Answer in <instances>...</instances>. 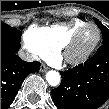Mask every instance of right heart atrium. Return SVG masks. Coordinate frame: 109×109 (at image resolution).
<instances>
[{"mask_svg":"<svg viewBox=\"0 0 109 109\" xmlns=\"http://www.w3.org/2000/svg\"><path fill=\"white\" fill-rule=\"evenodd\" d=\"M24 46L29 54L35 59H44L52 56V50L45 44L24 37Z\"/></svg>","mask_w":109,"mask_h":109,"instance_id":"d8ad5b80","label":"right heart atrium"}]
</instances>
